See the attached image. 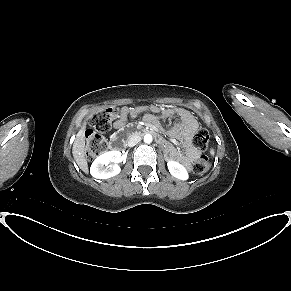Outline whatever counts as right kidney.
<instances>
[{"label": "right kidney", "mask_w": 291, "mask_h": 291, "mask_svg": "<svg viewBox=\"0 0 291 291\" xmlns=\"http://www.w3.org/2000/svg\"><path fill=\"white\" fill-rule=\"evenodd\" d=\"M121 160L120 151H108L95 159L90 168V174L97 179H107L120 173V166L116 163ZM110 162L115 164L109 165ZM109 165V166H108ZM107 166V167H106Z\"/></svg>", "instance_id": "ca27d5eb"}]
</instances>
